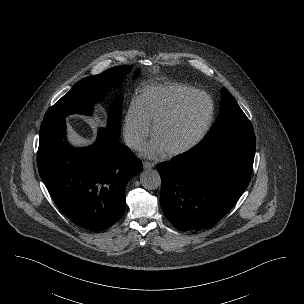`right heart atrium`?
<instances>
[{
	"instance_id": "1",
	"label": "right heart atrium",
	"mask_w": 304,
	"mask_h": 304,
	"mask_svg": "<svg viewBox=\"0 0 304 304\" xmlns=\"http://www.w3.org/2000/svg\"><path fill=\"white\" fill-rule=\"evenodd\" d=\"M150 132V124L144 117L137 101L131 102L123 121V134L126 144L131 149H138L148 138Z\"/></svg>"
}]
</instances>
